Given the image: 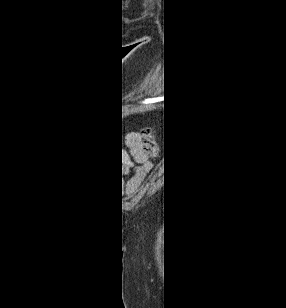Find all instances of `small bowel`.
I'll list each match as a JSON object with an SVG mask.
<instances>
[{
	"mask_svg": "<svg viewBox=\"0 0 286 308\" xmlns=\"http://www.w3.org/2000/svg\"><path fill=\"white\" fill-rule=\"evenodd\" d=\"M132 143L135 142L136 140V135L135 134H130L129 138H128Z\"/></svg>",
	"mask_w": 286,
	"mask_h": 308,
	"instance_id": "c3829d8e",
	"label": "small bowel"
}]
</instances>
